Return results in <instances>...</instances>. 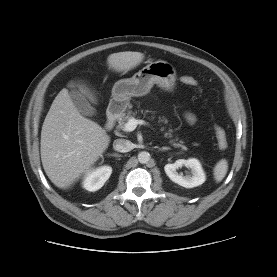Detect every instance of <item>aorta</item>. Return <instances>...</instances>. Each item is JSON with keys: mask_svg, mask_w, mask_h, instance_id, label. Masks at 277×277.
<instances>
[{"mask_svg": "<svg viewBox=\"0 0 277 277\" xmlns=\"http://www.w3.org/2000/svg\"><path fill=\"white\" fill-rule=\"evenodd\" d=\"M138 160L142 164L147 163L150 160V154L146 151H142L138 154Z\"/></svg>", "mask_w": 277, "mask_h": 277, "instance_id": "aorta-1", "label": "aorta"}]
</instances>
